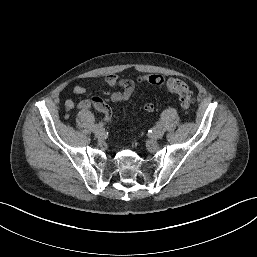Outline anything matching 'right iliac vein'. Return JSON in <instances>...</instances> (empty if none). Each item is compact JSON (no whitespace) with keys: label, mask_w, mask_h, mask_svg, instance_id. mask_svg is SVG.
Instances as JSON below:
<instances>
[{"label":"right iliac vein","mask_w":257,"mask_h":257,"mask_svg":"<svg viewBox=\"0 0 257 257\" xmlns=\"http://www.w3.org/2000/svg\"><path fill=\"white\" fill-rule=\"evenodd\" d=\"M104 135H105V132L103 129H99L98 131L95 132V136L99 139L102 138Z\"/></svg>","instance_id":"63e3f726"}]
</instances>
